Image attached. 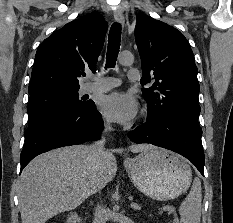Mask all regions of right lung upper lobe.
Here are the masks:
<instances>
[{"mask_svg": "<svg viewBox=\"0 0 233 223\" xmlns=\"http://www.w3.org/2000/svg\"><path fill=\"white\" fill-rule=\"evenodd\" d=\"M107 28V22L95 12L45 39L36 52L29 94L50 88H80L84 70L96 71Z\"/></svg>", "mask_w": 233, "mask_h": 223, "instance_id": "1", "label": "right lung upper lobe"}]
</instances>
